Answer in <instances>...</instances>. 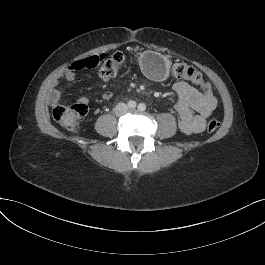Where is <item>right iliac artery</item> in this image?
<instances>
[{"mask_svg": "<svg viewBox=\"0 0 265 265\" xmlns=\"http://www.w3.org/2000/svg\"><path fill=\"white\" fill-rule=\"evenodd\" d=\"M136 105H137L136 102L133 101V100H130L128 102V107L131 108V109H134L136 107Z\"/></svg>", "mask_w": 265, "mask_h": 265, "instance_id": "obj_1", "label": "right iliac artery"}]
</instances>
